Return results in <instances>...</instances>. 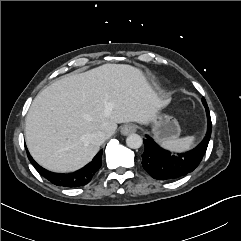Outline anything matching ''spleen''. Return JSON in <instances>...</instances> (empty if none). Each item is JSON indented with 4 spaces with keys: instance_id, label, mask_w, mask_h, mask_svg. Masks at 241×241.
<instances>
[{
    "instance_id": "1",
    "label": "spleen",
    "mask_w": 241,
    "mask_h": 241,
    "mask_svg": "<svg viewBox=\"0 0 241 241\" xmlns=\"http://www.w3.org/2000/svg\"><path fill=\"white\" fill-rule=\"evenodd\" d=\"M194 141V136L165 140L161 146L172 152H183L188 150Z\"/></svg>"
}]
</instances>
